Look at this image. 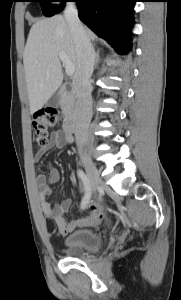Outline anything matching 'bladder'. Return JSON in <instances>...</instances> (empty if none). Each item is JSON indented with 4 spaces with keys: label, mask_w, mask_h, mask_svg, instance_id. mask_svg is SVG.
Returning a JSON list of instances; mask_svg holds the SVG:
<instances>
[{
    "label": "bladder",
    "mask_w": 181,
    "mask_h": 300,
    "mask_svg": "<svg viewBox=\"0 0 181 300\" xmlns=\"http://www.w3.org/2000/svg\"><path fill=\"white\" fill-rule=\"evenodd\" d=\"M101 245L100 236L91 229L74 230L64 240L66 251L72 255L82 254L86 251H97Z\"/></svg>",
    "instance_id": "1"
}]
</instances>
